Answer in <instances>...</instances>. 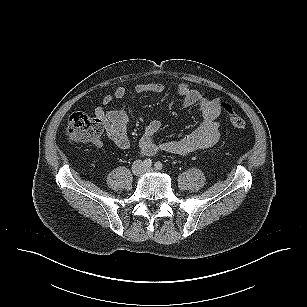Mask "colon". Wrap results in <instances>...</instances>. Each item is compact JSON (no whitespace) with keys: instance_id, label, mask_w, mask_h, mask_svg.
Returning a JSON list of instances; mask_svg holds the SVG:
<instances>
[{"instance_id":"colon-1","label":"colon","mask_w":307,"mask_h":307,"mask_svg":"<svg viewBox=\"0 0 307 307\" xmlns=\"http://www.w3.org/2000/svg\"><path fill=\"white\" fill-rule=\"evenodd\" d=\"M219 105L235 128L247 127L246 121L233 111L230 104L221 100ZM102 132L103 126L96 118L81 112H75L69 117L66 135L71 143H94L100 139Z\"/></svg>"}]
</instances>
